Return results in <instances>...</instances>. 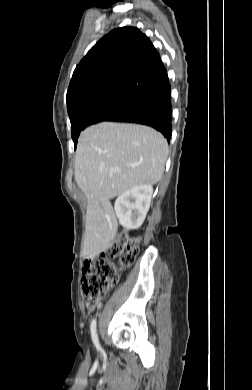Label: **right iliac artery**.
<instances>
[{
  "label": "right iliac artery",
  "mask_w": 252,
  "mask_h": 390,
  "mask_svg": "<svg viewBox=\"0 0 252 390\" xmlns=\"http://www.w3.org/2000/svg\"><path fill=\"white\" fill-rule=\"evenodd\" d=\"M90 330H91V336H92L93 343L96 346V348L98 350H100L101 347H100L97 332H96V320L95 319H93L91 322Z\"/></svg>",
  "instance_id": "right-iliac-artery-1"
}]
</instances>
